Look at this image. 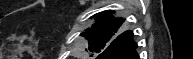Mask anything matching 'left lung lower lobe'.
<instances>
[{"label":"left lung lower lobe","instance_id":"obj_1","mask_svg":"<svg viewBox=\"0 0 193 59\" xmlns=\"http://www.w3.org/2000/svg\"><path fill=\"white\" fill-rule=\"evenodd\" d=\"M137 44L133 41V32L126 31L122 36L97 59H139L136 53Z\"/></svg>","mask_w":193,"mask_h":59}]
</instances>
